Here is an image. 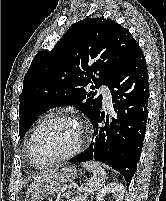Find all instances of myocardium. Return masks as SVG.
Instances as JSON below:
<instances>
[{
    "mask_svg": "<svg viewBox=\"0 0 166 201\" xmlns=\"http://www.w3.org/2000/svg\"><path fill=\"white\" fill-rule=\"evenodd\" d=\"M54 121H72V122L76 123L80 127V130H81L80 140H79L77 146L72 151L68 152L67 154H64L62 156L54 158V159L48 161L45 164L38 165L35 162L34 158H33V143H34V140H35L38 132L40 131V129L43 126H45L48 123L54 122ZM86 137H87V128H86V126L81 124V123H79V122H77L74 118H72L70 116H67V115H61V114L46 117L41 122H39L37 124V126L34 128L32 134L30 136V140H29V143H28V150H27L30 163L35 167L41 168V167H48V166L54 165L56 163H60V162L69 160V159L73 158L74 156H76L77 154H79L81 152V150L84 147Z\"/></svg>",
    "mask_w": 166,
    "mask_h": 201,
    "instance_id": "f54148a6",
    "label": "myocardium"
}]
</instances>
